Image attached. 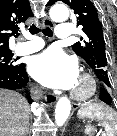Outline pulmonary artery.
I'll return each instance as SVG.
<instances>
[{
	"instance_id": "obj_1",
	"label": "pulmonary artery",
	"mask_w": 117,
	"mask_h": 136,
	"mask_svg": "<svg viewBox=\"0 0 117 136\" xmlns=\"http://www.w3.org/2000/svg\"><path fill=\"white\" fill-rule=\"evenodd\" d=\"M57 38L68 39L72 36V32L68 23L60 24L56 29ZM44 47V42L40 39H33L21 44L16 48V53L20 55L31 54Z\"/></svg>"
}]
</instances>
